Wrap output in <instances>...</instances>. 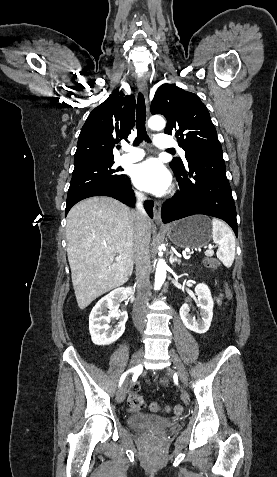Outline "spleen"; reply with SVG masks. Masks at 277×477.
<instances>
[{
	"instance_id": "obj_1",
	"label": "spleen",
	"mask_w": 277,
	"mask_h": 477,
	"mask_svg": "<svg viewBox=\"0 0 277 477\" xmlns=\"http://www.w3.org/2000/svg\"><path fill=\"white\" fill-rule=\"evenodd\" d=\"M213 242L219 245L217 258L227 268L231 267L235 258V237L231 229L222 221L212 220Z\"/></svg>"
}]
</instances>
